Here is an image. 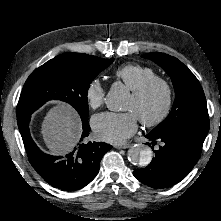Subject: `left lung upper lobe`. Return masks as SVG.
<instances>
[{
	"label": "left lung upper lobe",
	"mask_w": 221,
	"mask_h": 221,
	"mask_svg": "<svg viewBox=\"0 0 221 221\" xmlns=\"http://www.w3.org/2000/svg\"><path fill=\"white\" fill-rule=\"evenodd\" d=\"M142 57L162 67L171 77L175 88L171 112L150 133L157 136L186 134L205 140L210 123L206 98L198 79L182 62L170 55L149 53Z\"/></svg>",
	"instance_id": "left-lung-upper-lobe-1"
}]
</instances>
